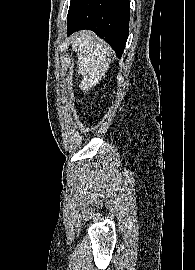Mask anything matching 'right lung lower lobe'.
<instances>
[{"mask_svg":"<svg viewBox=\"0 0 195 270\" xmlns=\"http://www.w3.org/2000/svg\"><path fill=\"white\" fill-rule=\"evenodd\" d=\"M129 20V0H74L68 11L67 35L92 30L121 57L129 34Z\"/></svg>","mask_w":195,"mask_h":270,"instance_id":"obj_1","label":"right lung lower lobe"}]
</instances>
